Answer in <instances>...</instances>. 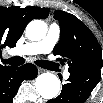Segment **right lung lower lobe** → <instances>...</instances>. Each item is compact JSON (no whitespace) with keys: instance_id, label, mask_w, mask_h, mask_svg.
Returning <instances> with one entry per match:
<instances>
[{"instance_id":"right-lung-lower-lobe-1","label":"right lung lower lobe","mask_w":103,"mask_h":103,"mask_svg":"<svg viewBox=\"0 0 103 103\" xmlns=\"http://www.w3.org/2000/svg\"><path fill=\"white\" fill-rule=\"evenodd\" d=\"M37 76L33 64L21 67H4L0 69V103H12L23 80H31Z\"/></svg>"}]
</instances>
